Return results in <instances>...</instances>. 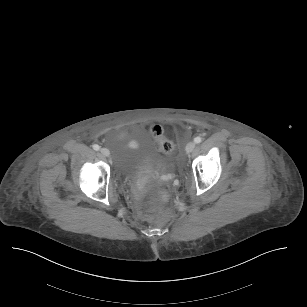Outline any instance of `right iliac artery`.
<instances>
[{"label":"right iliac artery","instance_id":"82829eb1","mask_svg":"<svg viewBox=\"0 0 307 307\" xmlns=\"http://www.w3.org/2000/svg\"><path fill=\"white\" fill-rule=\"evenodd\" d=\"M93 149L96 150V151H98V150L100 149V146L97 145V144H94V145H93Z\"/></svg>","mask_w":307,"mask_h":307}]
</instances>
